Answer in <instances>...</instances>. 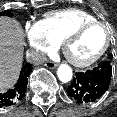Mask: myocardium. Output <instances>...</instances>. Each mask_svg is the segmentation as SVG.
Wrapping results in <instances>:
<instances>
[{
    "label": "myocardium",
    "instance_id": "obj_1",
    "mask_svg": "<svg viewBox=\"0 0 117 117\" xmlns=\"http://www.w3.org/2000/svg\"><path fill=\"white\" fill-rule=\"evenodd\" d=\"M94 26H101L107 32L106 42H105L104 46L102 47V49L100 51H98L95 55H93L92 57H90L86 60H77V59H74L73 57H71L68 52V49H69V46L71 45V43L73 41H75L85 30H87L91 27H94ZM112 39H113V30L111 29V27L109 25H107L106 23L96 20V21L83 23V24L79 25L78 27H76L72 32H70L64 38V40L62 42V49H63V52H64L66 58L72 65H74L76 67H88V66L94 64L95 62H97L107 52V50L109 49V47L111 45Z\"/></svg>",
    "mask_w": 117,
    "mask_h": 117
}]
</instances>
